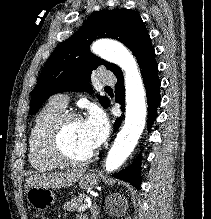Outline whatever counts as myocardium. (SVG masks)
I'll return each instance as SVG.
<instances>
[{
	"instance_id": "1",
	"label": "myocardium",
	"mask_w": 211,
	"mask_h": 219,
	"mask_svg": "<svg viewBox=\"0 0 211 219\" xmlns=\"http://www.w3.org/2000/svg\"><path fill=\"white\" fill-rule=\"evenodd\" d=\"M81 116L73 112H63L58 115L47 127L44 135V145L48 154L56 161L67 166H85L96 157L93 151L85 158L72 157L64 147L63 136L68 124L72 121H80Z\"/></svg>"
}]
</instances>
